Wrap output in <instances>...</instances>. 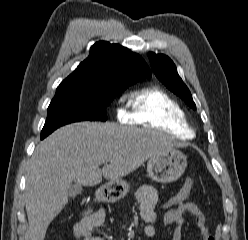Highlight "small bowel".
<instances>
[{
	"label": "small bowel",
	"mask_w": 248,
	"mask_h": 240,
	"mask_svg": "<svg viewBox=\"0 0 248 240\" xmlns=\"http://www.w3.org/2000/svg\"><path fill=\"white\" fill-rule=\"evenodd\" d=\"M140 213L146 223L144 234L152 237L155 234V223L157 215L155 207L158 202L157 190L151 185H143L136 192ZM189 214L196 220V225L203 240H215L206 225V219L199 207L192 202H185L179 206L169 209L164 214L163 220L167 225H174L172 240H182V226L184 216ZM105 219L103 208H87L73 226V237L75 240H104L103 237L94 233Z\"/></svg>",
	"instance_id": "c3829d8e"
}]
</instances>
